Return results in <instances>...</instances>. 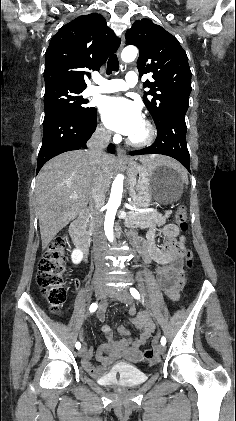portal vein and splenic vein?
<instances>
[{
    "label": "portal vein and splenic vein",
    "mask_w": 236,
    "mask_h": 421,
    "mask_svg": "<svg viewBox=\"0 0 236 421\" xmlns=\"http://www.w3.org/2000/svg\"><path fill=\"white\" fill-rule=\"evenodd\" d=\"M70 198H77V196H70ZM124 208H130L131 210H134V205L128 204V202H126ZM135 211H140V213H152V211H155V208H135Z\"/></svg>",
    "instance_id": "1"
}]
</instances>
